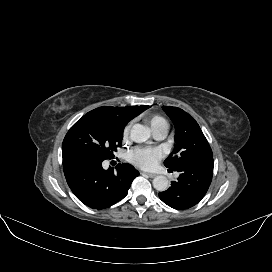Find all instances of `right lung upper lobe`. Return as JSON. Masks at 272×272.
<instances>
[{
  "instance_id": "obj_1",
  "label": "right lung upper lobe",
  "mask_w": 272,
  "mask_h": 272,
  "mask_svg": "<svg viewBox=\"0 0 272 272\" xmlns=\"http://www.w3.org/2000/svg\"><path fill=\"white\" fill-rule=\"evenodd\" d=\"M149 107L150 106L147 105H141L131 107H99L97 109L114 113L127 124L131 119L138 116Z\"/></svg>"
}]
</instances>
